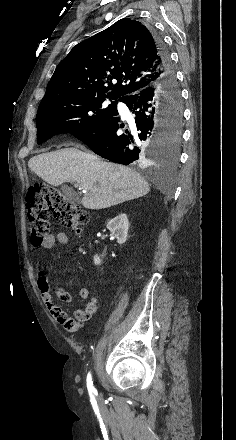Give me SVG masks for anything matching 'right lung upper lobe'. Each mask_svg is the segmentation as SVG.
I'll return each mask as SVG.
<instances>
[{
  "mask_svg": "<svg viewBox=\"0 0 236 440\" xmlns=\"http://www.w3.org/2000/svg\"><path fill=\"white\" fill-rule=\"evenodd\" d=\"M161 75L151 31L125 18L77 44L56 67L41 102L74 95L122 100Z\"/></svg>",
  "mask_w": 236,
  "mask_h": 440,
  "instance_id": "obj_1",
  "label": "right lung upper lobe"
}]
</instances>
